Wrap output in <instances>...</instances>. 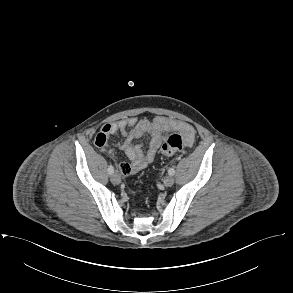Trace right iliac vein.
Listing matches in <instances>:
<instances>
[{
    "label": "right iliac vein",
    "mask_w": 293,
    "mask_h": 293,
    "mask_svg": "<svg viewBox=\"0 0 293 293\" xmlns=\"http://www.w3.org/2000/svg\"><path fill=\"white\" fill-rule=\"evenodd\" d=\"M110 180H111V182L113 183V184H119L120 183V181H121V178H120V176H119V174H117V173H113V174H111V176H110Z\"/></svg>",
    "instance_id": "63e3f726"
}]
</instances>
